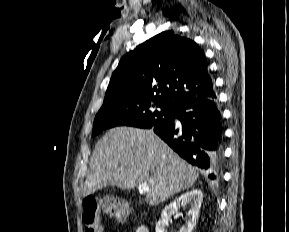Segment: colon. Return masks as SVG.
Wrapping results in <instances>:
<instances>
[{
  "label": "colon",
  "instance_id": "5ec220e1",
  "mask_svg": "<svg viewBox=\"0 0 289 232\" xmlns=\"http://www.w3.org/2000/svg\"><path fill=\"white\" fill-rule=\"evenodd\" d=\"M110 214L118 220H124L126 217V209L117 207L102 199L94 196H88L83 201L82 223L84 232H102L99 215L100 212Z\"/></svg>",
  "mask_w": 289,
  "mask_h": 232
}]
</instances>
